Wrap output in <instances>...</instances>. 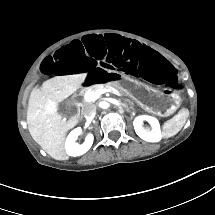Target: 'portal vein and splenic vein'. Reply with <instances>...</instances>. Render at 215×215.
Returning <instances> with one entry per match:
<instances>
[{
    "mask_svg": "<svg viewBox=\"0 0 215 215\" xmlns=\"http://www.w3.org/2000/svg\"><path fill=\"white\" fill-rule=\"evenodd\" d=\"M110 89H99L95 92L90 93L89 95H85L84 99L86 102H91L92 99L97 100L99 98L100 95L106 93V92H110Z\"/></svg>",
    "mask_w": 215,
    "mask_h": 215,
    "instance_id": "18ae733b",
    "label": "portal vein and splenic vein"
}]
</instances>
